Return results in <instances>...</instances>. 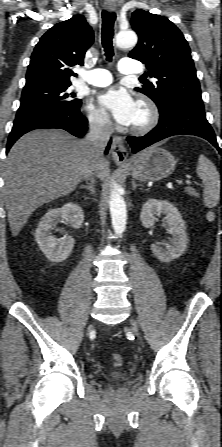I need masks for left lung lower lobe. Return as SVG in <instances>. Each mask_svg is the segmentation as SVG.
Listing matches in <instances>:
<instances>
[{
  "label": "left lung lower lobe",
  "instance_id": "obj_1",
  "mask_svg": "<svg viewBox=\"0 0 222 447\" xmlns=\"http://www.w3.org/2000/svg\"><path fill=\"white\" fill-rule=\"evenodd\" d=\"M195 135L212 143L222 155L205 111L181 103H172L160 112L158 125L143 137H127L133 153L173 135Z\"/></svg>",
  "mask_w": 222,
  "mask_h": 447
}]
</instances>
